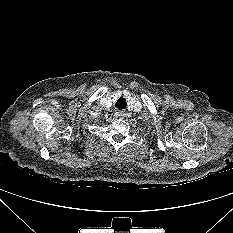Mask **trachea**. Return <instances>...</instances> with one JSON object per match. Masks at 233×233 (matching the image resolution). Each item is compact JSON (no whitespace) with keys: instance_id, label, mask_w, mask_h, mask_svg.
<instances>
[{"instance_id":"3493384b","label":"trachea","mask_w":233,"mask_h":233,"mask_svg":"<svg viewBox=\"0 0 233 233\" xmlns=\"http://www.w3.org/2000/svg\"><path fill=\"white\" fill-rule=\"evenodd\" d=\"M126 105H127L126 99L123 97L119 98L115 104L116 108L118 109H125Z\"/></svg>"}]
</instances>
